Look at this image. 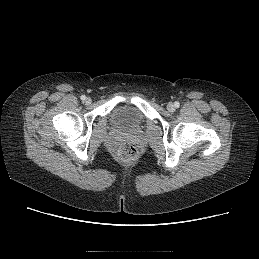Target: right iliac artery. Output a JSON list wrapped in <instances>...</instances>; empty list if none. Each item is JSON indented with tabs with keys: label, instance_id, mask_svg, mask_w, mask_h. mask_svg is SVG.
<instances>
[{
	"label": "right iliac artery",
	"instance_id": "right-iliac-artery-1",
	"mask_svg": "<svg viewBox=\"0 0 259 259\" xmlns=\"http://www.w3.org/2000/svg\"><path fill=\"white\" fill-rule=\"evenodd\" d=\"M85 99H86V96H85V95H82V96H81V100L84 101Z\"/></svg>",
	"mask_w": 259,
	"mask_h": 259
}]
</instances>
